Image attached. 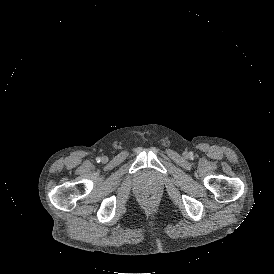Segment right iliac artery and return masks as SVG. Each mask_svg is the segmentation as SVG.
<instances>
[{"label": "right iliac artery", "instance_id": "1", "mask_svg": "<svg viewBox=\"0 0 274 274\" xmlns=\"http://www.w3.org/2000/svg\"><path fill=\"white\" fill-rule=\"evenodd\" d=\"M96 161H97V162H100V161H101V158H100V157H97V158H96Z\"/></svg>", "mask_w": 274, "mask_h": 274}]
</instances>
